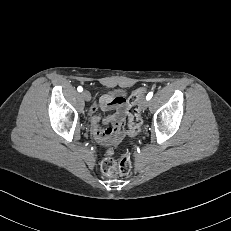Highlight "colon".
Masks as SVG:
<instances>
[{"label":"colon","mask_w":231,"mask_h":231,"mask_svg":"<svg viewBox=\"0 0 231 231\" xmlns=\"http://www.w3.org/2000/svg\"><path fill=\"white\" fill-rule=\"evenodd\" d=\"M145 88L135 90L127 101L126 117L128 120L127 134L135 136L140 131L142 125V118L140 114L139 101L145 94ZM101 172L108 178L116 177L119 175H127L132 168L131 157L128 153H124L116 160L114 152L107 150L103 160L101 161Z\"/></svg>","instance_id":"1"}]
</instances>
